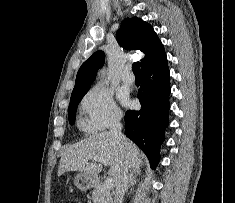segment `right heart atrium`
I'll return each mask as SVG.
<instances>
[{"label":"right heart atrium","instance_id":"1","mask_svg":"<svg viewBox=\"0 0 235 203\" xmlns=\"http://www.w3.org/2000/svg\"><path fill=\"white\" fill-rule=\"evenodd\" d=\"M87 130L102 131L118 122L122 112L113 99L112 92L103 85L92 86L84 95L80 105Z\"/></svg>","mask_w":235,"mask_h":203}]
</instances>
